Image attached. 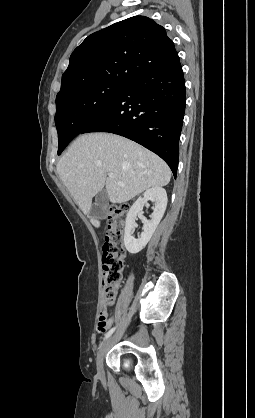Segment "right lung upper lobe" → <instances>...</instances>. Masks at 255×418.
<instances>
[{
    "mask_svg": "<svg viewBox=\"0 0 255 418\" xmlns=\"http://www.w3.org/2000/svg\"><path fill=\"white\" fill-rule=\"evenodd\" d=\"M178 60L166 30L148 17L134 16L91 34L73 51L57 95L102 81L129 84Z\"/></svg>",
    "mask_w": 255,
    "mask_h": 418,
    "instance_id": "right-lung-upper-lobe-1",
    "label": "right lung upper lobe"
}]
</instances>
